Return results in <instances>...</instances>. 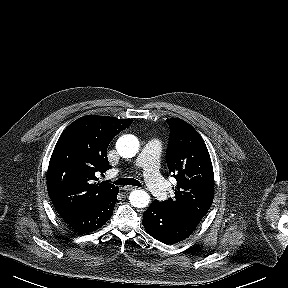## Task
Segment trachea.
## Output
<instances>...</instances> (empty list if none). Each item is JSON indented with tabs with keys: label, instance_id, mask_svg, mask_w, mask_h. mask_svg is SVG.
<instances>
[{
	"label": "trachea",
	"instance_id": "obj_1",
	"mask_svg": "<svg viewBox=\"0 0 288 288\" xmlns=\"http://www.w3.org/2000/svg\"><path fill=\"white\" fill-rule=\"evenodd\" d=\"M114 184L121 185V186L132 185V186L141 187V183L134 178H120L114 181Z\"/></svg>",
	"mask_w": 288,
	"mask_h": 288
}]
</instances>
